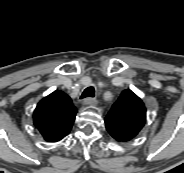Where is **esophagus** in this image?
Listing matches in <instances>:
<instances>
[{"mask_svg":"<svg viewBox=\"0 0 184 173\" xmlns=\"http://www.w3.org/2000/svg\"><path fill=\"white\" fill-rule=\"evenodd\" d=\"M82 103L83 105L94 106L98 103V100L96 98L89 97V98H85Z\"/></svg>","mask_w":184,"mask_h":173,"instance_id":"1","label":"esophagus"}]
</instances>
